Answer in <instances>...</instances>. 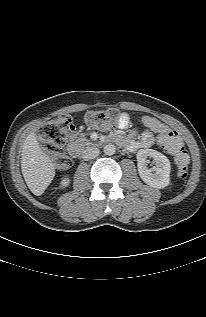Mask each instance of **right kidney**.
<instances>
[{
    "label": "right kidney",
    "instance_id": "ca27d5eb",
    "mask_svg": "<svg viewBox=\"0 0 206 317\" xmlns=\"http://www.w3.org/2000/svg\"><path fill=\"white\" fill-rule=\"evenodd\" d=\"M69 183H70V179H69L68 177H65V178H63V180H62V182H61V185H62L63 187H66V186L69 185Z\"/></svg>",
    "mask_w": 206,
    "mask_h": 317
}]
</instances>
